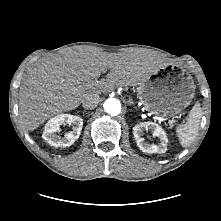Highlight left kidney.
<instances>
[{
  "label": "left kidney",
  "instance_id": "5707ae66",
  "mask_svg": "<svg viewBox=\"0 0 221 221\" xmlns=\"http://www.w3.org/2000/svg\"><path fill=\"white\" fill-rule=\"evenodd\" d=\"M150 130L153 136L158 137L160 142L157 145H150L144 142L143 131ZM134 138L141 151L147 153H165L167 151L168 139L165 131L154 122H143L133 127Z\"/></svg>",
  "mask_w": 221,
  "mask_h": 221
}]
</instances>
